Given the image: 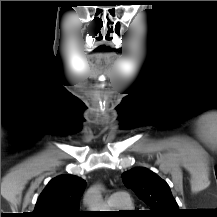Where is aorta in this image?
I'll return each instance as SVG.
<instances>
[{
  "mask_svg": "<svg viewBox=\"0 0 217 217\" xmlns=\"http://www.w3.org/2000/svg\"><path fill=\"white\" fill-rule=\"evenodd\" d=\"M84 202L91 211H107V206L102 199L101 187L98 185L91 187L87 191Z\"/></svg>",
  "mask_w": 217,
  "mask_h": 217,
  "instance_id": "1",
  "label": "aorta"
}]
</instances>
